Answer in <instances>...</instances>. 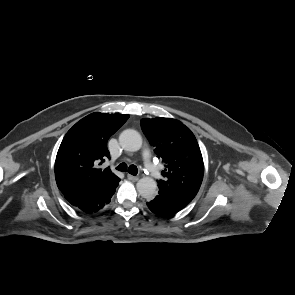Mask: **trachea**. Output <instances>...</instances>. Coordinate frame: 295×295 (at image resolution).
Listing matches in <instances>:
<instances>
[{
	"mask_svg": "<svg viewBox=\"0 0 295 295\" xmlns=\"http://www.w3.org/2000/svg\"><path fill=\"white\" fill-rule=\"evenodd\" d=\"M116 169L118 171H121V172H128V173H130L131 175H134V176H136L137 173H138V168L135 165H130L128 167L126 163H120L116 167Z\"/></svg>",
	"mask_w": 295,
	"mask_h": 295,
	"instance_id": "obj_1",
	"label": "trachea"
}]
</instances>
